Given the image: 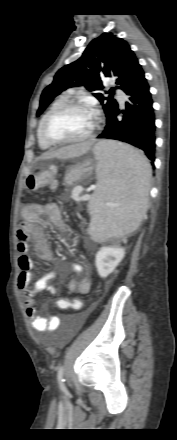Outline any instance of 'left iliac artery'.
<instances>
[{"instance_id":"1","label":"left iliac artery","mask_w":177,"mask_h":440,"mask_svg":"<svg viewBox=\"0 0 177 440\" xmlns=\"http://www.w3.org/2000/svg\"><path fill=\"white\" fill-rule=\"evenodd\" d=\"M63 375H64V368H63V366L61 365V366L59 367V369H58V373H57V379H58V383H59V386H60L61 389H65V384H64V378H63Z\"/></svg>"}]
</instances>
